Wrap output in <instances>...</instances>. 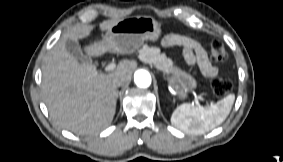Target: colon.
I'll use <instances>...</instances> for the list:
<instances>
[{"label": "colon", "mask_w": 283, "mask_h": 162, "mask_svg": "<svg viewBox=\"0 0 283 162\" xmlns=\"http://www.w3.org/2000/svg\"><path fill=\"white\" fill-rule=\"evenodd\" d=\"M210 57L215 62L226 61L228 54L220 41L215 40L211 43ZM211 87L215 96L223 97L232 90L233 84L231 80L226 77H218L212 81Z\"/></svg>", "instance_id": "obj_1"}]
</instances>
